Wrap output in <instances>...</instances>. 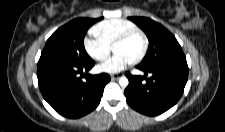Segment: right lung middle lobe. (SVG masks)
Masks as SVG:
<instances>
[{"instance_id": "obj_1", "label": "right lung middle lobe", "mask_w": 225, "mask_h": 132, "mask_svg": "<svg viewBox=\"0 0 225 132\" xmlns=\"http://www.w3.org/2000/svg\"><path fill=\"white\" fill-rule=\"evenodd\" d=\"M97 19L77 18L58 30L47 40L40 59H56L77 64L91 62L84 48V37L88 28Z\"/></svg>"}]
</instances>
